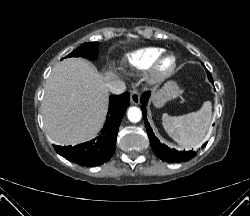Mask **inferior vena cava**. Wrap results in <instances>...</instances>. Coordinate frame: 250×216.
I'll list each match as a JSON object with an SVG mask.
<instances>
[{
	"label": "inferior vena cava",
	"instance_id": "obj_1",
	"mask_svg": "<svg viewBox=\"0 0 250 216\" xmlns=\"http://www.w3.org/2000/svg\"><path fill=\"white\" fill-rule=\"evenodd\" d=\"M107 89L111 93L119 95V94H122L125 91L126 86H125V83L123 81L116 80V81L109 82L107 84Z\"/></svg>",
	"mask_w": 250,
	"mask_h": 216
}]
</instances>
